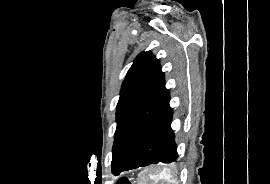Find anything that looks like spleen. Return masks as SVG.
<instances>
[{"label": "spleen", "mask_w": 270, "mask_h": 184, "mask_svg": "<svg viewBox=\"0 0 270 184\" xmlns=\"http://www.w3.org/2000/svg\"><path fill=\"white\" fill-rule=\"evenodd\" d=\"M173 176L168 168L160 171L157 170H144L139 175L138 184H172Z\"/></svg>", "instance_id": "1"}]
</instances>
